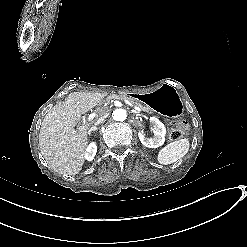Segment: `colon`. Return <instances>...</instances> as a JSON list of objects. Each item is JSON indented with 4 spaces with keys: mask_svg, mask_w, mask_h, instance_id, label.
Returning a JSON list of instances; mask_svg holds the SVG:
<instances>
[{
    "mask_svg": "<svg viewBox=\"0 0 247 247\" xmlns=\"http://www.w3.org/2000/svg\"><path fill=\"white\" fill-rule=\"evenodd\" d=\"M187 130V122L184 119L179 118L175 120L171 126L170 139L172 141L181 139V137L187 132Z\"/></svg>",
    "mask_w": 247,
    "mask_h": 247,
    "instance_id": "1",
    "label": "colon"
}]
</instances>
